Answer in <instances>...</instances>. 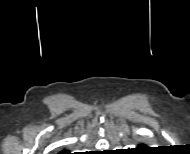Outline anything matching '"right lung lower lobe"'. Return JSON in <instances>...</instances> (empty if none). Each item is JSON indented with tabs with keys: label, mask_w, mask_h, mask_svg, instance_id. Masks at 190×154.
<instances>
[{
	"label": "right lung lower lobe",
	"mask_w": 190,
	"mask_h": 154,
	"mask_svg": "<svg viewBox=\"0 0 190 154\" xmlns=\"http://www.w3.org/2000/svg\"><path fill=\"white\" fill-rule=\"evenodd\" d=\"M69 152L65 151V152H62L61 154H68Z\"/></svg>",
	"instance_id": "98d812e1"
}]
</instances>
